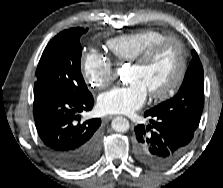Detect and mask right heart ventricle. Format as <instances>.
<instances>
[{
    "instance_id": "e07e8e85",
    "label": "right heart ventricle",
    "mask_w": 223,
    "mask_h": 188,
    "mask_svg": "<svg viewBox=\"0 0 223 188\" xmlns=\"http://www.w3.org/2000/svg\"><path fill=\"white\" fill-rule=\"evenodd\" d=\"M156 29H142L137 32L113 37L106 42L110 53L119 61L131 62L148 47L166 38Z\"/></svg>"
}]
</instances>
